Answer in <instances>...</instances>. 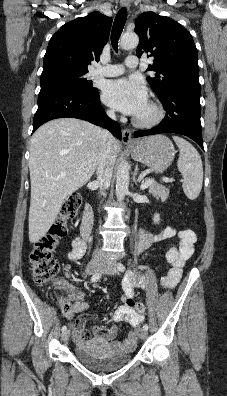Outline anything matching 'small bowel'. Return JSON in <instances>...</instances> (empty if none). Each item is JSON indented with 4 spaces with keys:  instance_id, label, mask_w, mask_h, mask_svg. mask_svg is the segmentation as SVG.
<instances>
[{
    "instance_id": "small-bowel-1",
    "label": "small bowel",
    "mask_w": 227,
    "mask_h": 396,
    "mask_svg": "<svg viewBox=\"0 0 227 396\" xmlns=\"http://www.w3.org/2000/svg\"><path fill=\"white\" fill-rule=\"evenodd\" d=\"M177 237L179 239L178 246L171 247L166 253V260L170 264V269L162 278L161 284L165 288L174 287L180 280L182 270L185 263L191 258L196 242V235L190 229L176 230L174 227L167 226L161 231L152 233L145 229L139 232V241L137 248L139 251L146 250L155 242L165 241L167 239ZM85 244L81 239L73 242V248L69 253L71 260H79L85 253ZM63 288L67 291L69 297L73 300L71 314H80L88 309V303L85 301L84 294L75 289L70 284L63 282ZM124 295L122 304L117 307L112 315L113 322L125 321L133 327H138L144 321L143 313H139L128 304L130 300L134 301V282L130 277L123 283ZM118 329L116 325L109 328L94 327L91 331L85 328V317H79L73 327L74 340L79 344L88 342L106 345L110 349L119 351L132 348L136 343V333L130 332L122 341L116 340Z\"/></svg>"
}]
</instances>
